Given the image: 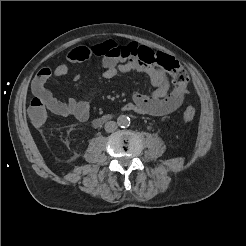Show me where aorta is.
Wrapping results in <instances>:
<instances>
[{
    "label": "aorta",
    "instance_id": "aorta-1",
    "mask_svg": "<svg viewBox=\"0 0 246 246\" xmlns=\"http://www.w3.org/2000/svg\"><path fill=\"white\" fill-rule=\"evenodd\" d=\"M117 124L123 128L128 127L130 125V118L126 115H120L117 118Z\"/></svg>",
    "mask_w": 246,
    "mask_h": 246
}]
</instances>
